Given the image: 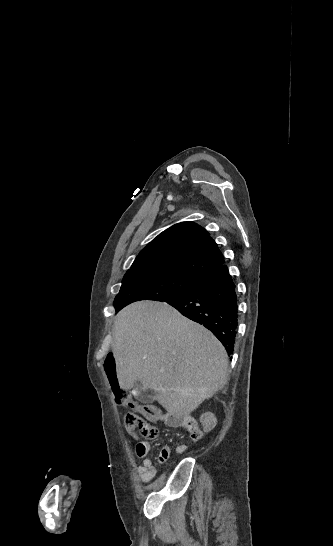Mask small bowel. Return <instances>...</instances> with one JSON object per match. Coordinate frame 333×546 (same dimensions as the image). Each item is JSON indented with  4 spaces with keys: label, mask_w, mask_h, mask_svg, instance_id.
<instances>
[{
    "label": "small bowel",
    "mask_w": 333,
    "mask_h": 546,
    "mask_svg": "<svg viewBox=\"0 0 333 546\" xmlns=\"http://www.w3.org/2000/svg\"><path fill=\"white\" fill-rule=\"evenodd\" d=\"M153 421H165L169 425L177 426L181 423L173 417L165 416L160 410L156 409V414L149 417ZM208 422L212 424L214 422L213 418H209ZM183 426L188 427L190 436L192 440L197 441L202 437V431L193 423H182ZM136 439L135 434H132ZM187 445L180 444L175 448L177 454H182L186 451ZM152 450V445L149 441H138L136 444V454L139 458L142 459V463L138 466L137 471L140 476V479L143 483L150 482L156 474V464L149 457V454ZM171 447L169 445L164 446L158 457L157 461L159 463H164L170 456Z\"/></svg>",
    "instance_id": "small-bowel-1"
}]
</instances>
